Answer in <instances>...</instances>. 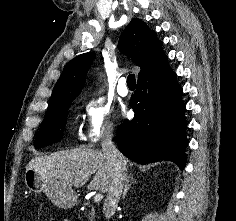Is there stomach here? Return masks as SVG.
Segmentation results:
<instances>
[{
	"mask_svg": "<svg viewBox=\"0 0 236 221\" xmlns=\"http://www.w3.org/2000/svg\"><path fill=\"white\" fill-rule=\"evenodd\" d=\"M27 188L33 192H44L47 197L60 208H71L77 197L71 187L33 169L24 174Z\"/></svg>",
	"mask_w": 236,
	"mask_h": 221,
	"instance_id": "obj_1",
	"label": "stomach"
}]
</instances>
